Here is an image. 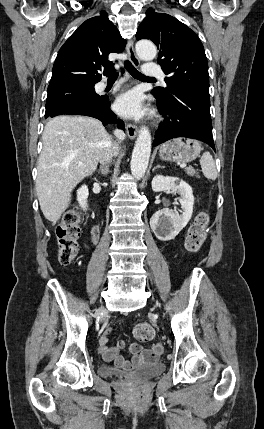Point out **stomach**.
<instances>
[{
  "label": "stomach",
  "mask_w": 264,
  "mask_h": 429,
  "mask_svg": "<svg viewBox=\"0 0 264 429\" xmlns=\"http://www.w3.org/2000/svg\"><path fill=\"white\" fill-rule=\"evenodd\" d=\"M202 150L199 141L190 138H175L159 147V157L166 161L191 162Z\"/></svg>",
  "instance_id": "obj_1"
}]
</instances>
